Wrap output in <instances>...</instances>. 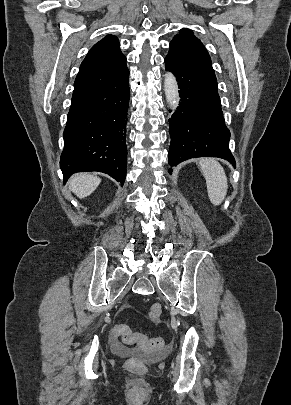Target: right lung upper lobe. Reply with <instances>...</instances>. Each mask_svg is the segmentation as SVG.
Segmentation results:
<instances>
[{
  "instance_id": "obj_1",
  "label": "right lung upper lobe",
  "mask_w": 291,
  "mask_h": 405,
  "mask_svg": "<svg viewBox=\"0 0 291 405\" xmlns=\"http://www.w3.org/2000/svg\"><path fill=\"white\" fill-rule=\"evenodd\" d=\"M127 70L126 57L120 50L118 38L107 35L90 49L83 60L74 82L73 94L114 80Z\"/></svg>"
}]
</instances>
